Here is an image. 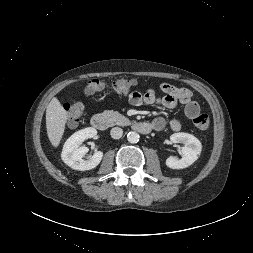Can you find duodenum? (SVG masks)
<instances>
[{
  "mask_svg": "<svg viewBox=\"0 0 253 253\" xmlns=\"http://www.w3.org/2000/svg\"><path fill=\"white\" fill-rule=\"evenodd\" d=\"M91 125L98 130H104L108 126L107 117L101 113L95 114L91 118ZM133 128L137 132L145 134L153 129V125L147 122H136L133 124Z\"/></svg>",
  "mask_w": 253,
  "mask_h": 253,
  "instance_id": "410a0bca",
  "label": "duodenum"
}]
</instances>
